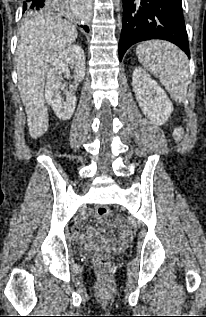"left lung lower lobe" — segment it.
<instances>
[{
    "mask_svg": "<svg viewBox=\"0 0 206 317\" xmlns=\"http://www.w3.org/2000/svg\"><path fill=\"white\" fill-rule=\"evenodd\" d=\"M149 39L170 41L190 57L181 0H123L120 61L131 45Z\"/></svg>",
    "mask_w": 206,
    "mask_h": 317,
    "instance_id": "obj_1",
    "label": "left lung lower lobe"
}]
</instances>
